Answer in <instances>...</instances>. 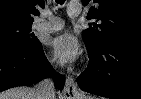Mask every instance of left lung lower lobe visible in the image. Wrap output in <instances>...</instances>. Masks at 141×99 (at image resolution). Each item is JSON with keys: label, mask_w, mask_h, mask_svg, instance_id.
<instances>
[{"label": "left lung lower lobe", "mask_w": 141, "mask_h": 99, "mask_svg": "<svg viewBox=\"0 0 141 99\" xmlns=\"http://www.w3.org/2000/svg\"><path fill=\"white\" fill-rule=\"evenodd\" d=\"M87 50L89 66L77 78L81 90L112 99H141V42L115 41Z\"/></svg>", "instance_id": "obj_1"}]
</instances>
